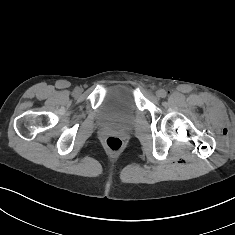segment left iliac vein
I'll use <instances>...</instances> for the list:
<instances>
[{"mask_svg":"<svg viewBox=\"0 0 235 235\" xmlns=\"http://www.w3.org/2000/svg\"><path fill=\"white\" fill-rule=\"evenodd\" d=\"M162 92H163V90H157L156 91V96L158 97V98H161L162 97Z\"/></svg>","mask_w":235,"mask_h":235,"instance_id":"4c4485c4","label":"left iliac vein"}]
</instances>
